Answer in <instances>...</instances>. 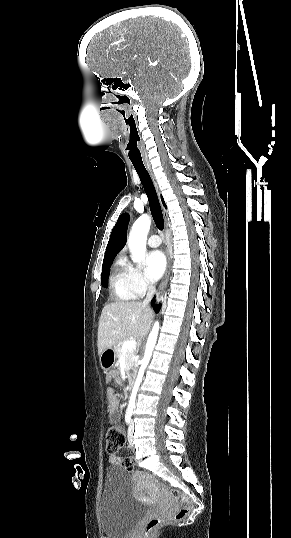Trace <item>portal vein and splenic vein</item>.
I'll list each match as a JSON object with an SVG mask.
<instances>
[{
	"mask_svg": "<svg viewBox=\"0 0 291 538\" xmlns=\"http://www.w3.org/2000/svg\"><path fill=\"white\" fill-rule=\"evenodd\" d=\"M137 342L135 340L126 341L122 345V350H133L136 348Z\"/></svg>",
	"mask_w": 291,
	"mask_h": 538,
	"instance_id": "obj_1",
	"label": "portal vein and splenic vein"
}]
</instances>
